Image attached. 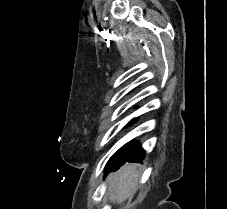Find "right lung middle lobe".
Segmentation results:
<instances>
[{
  "label": "right lung middle lobe",
  "mask_w": 227,
  "mask_h": 209,
  "mask_svg": "<svg viewBox=\"0 0 227 209\" xmlns=\"http://www.w3.org/2000/svg\"><path fill=\"white\" fill-rule=\"evenodd\" d=\"M135 120V119H134ZM134 120H132L130 123H132ZM129 123V124H130ZM119 151V150H118ZM117 151V152H118ZM116 152V153H117ZM116 153L110 158V160L108 161V163H107V169H109L110 168V166L113 164V161H114V157H115V155H116Z\"/></svg>",
  "instance_id": "1"
}]
</instances>
